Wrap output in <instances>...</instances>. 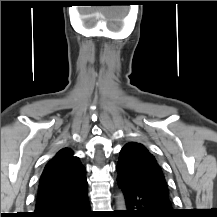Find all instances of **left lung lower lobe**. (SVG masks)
<instances>
[{
	"label": "left lung lower lobe",
	"mask_w": 217,
	"mask_h": 217,
	"mask_svg": "<svg viewBox=\"0 0 217 217\" xmlns=\"http://www.w3.org/2000/svg\"><path fill=\"white\" fill-rule=\"evenodd\" d=\"M118 186L121 188L128 210L123 212L124 217H174L170 195L142 189L130 185L119 176Z\"/></svg>",
	"instance_id": "0a47b994"
}]
</instances>
